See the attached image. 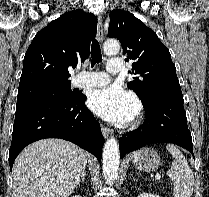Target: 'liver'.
<instances>
[{"label": "liver", "mask_w": 209, "mask_h": 197, "mask_svg": "<svg viewBox=\"0 0 209 197\" xmlns=\"http://www.w3.org/2000/svg\"><path fill=\"white\" fill-rule=\"evenodd\" d=\"M87 161L88 153L66 140L48 138L30 144L13 167L17 197H68Z\"/></svg>", "instance_id": "1"}]
</instances>
